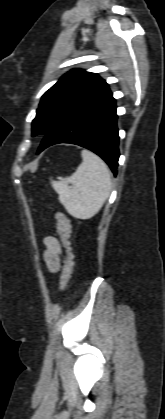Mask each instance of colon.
I'll return each mask as SVG.
<instances>
[{
	"label": "colon",
	"mask_w": 165,
	"mask_h": 419,
	"mask_svg": "<svg viewBox=\"0 0 165 419\" xmlns=\"http://www.w3.org/2000/svg\"><path fill=\"white\" fill-rule=\"evenodd\" d=\"M57 221V231L65 251L63 264V274L60 280V291L63 292L68 287L73 275V260L70 251L71 221L69 217L61 211H55Z\"/></svg>",
	"instance_id": "colon-1"
}]
</instances>
